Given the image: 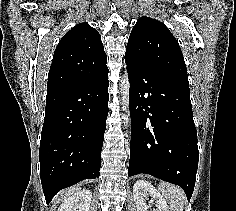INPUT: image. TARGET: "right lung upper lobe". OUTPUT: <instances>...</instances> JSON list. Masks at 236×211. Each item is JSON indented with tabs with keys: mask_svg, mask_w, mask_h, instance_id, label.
<instances>
[{
	"mask_svg": "<svg viewBox=\"0 0 236 211\" xmlns=\"http://www.w3.org/2000/svg\"><path fill=\"white\" fill-rule=\"evenodd\" d=\"M107 56L96 29L81 23L59 41L50 67L47 91L82 84L108 71Z\"/></svg>",
	"mask_w": 236,
	"mask_h": 211,
	"instance_id": "1",
	"label": "right lung upper lobe"
}]
</instances>
